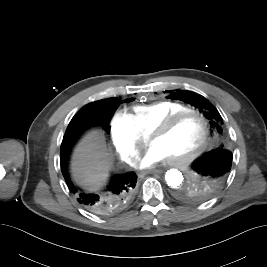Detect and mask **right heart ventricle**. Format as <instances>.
I'll return each instance as SVG.
<instances>
[{
  "label": "right heart ventricle",
  "instance_id": "e07e8e85",
  "mask_svg": "<svg viewBox=\"0 0 267 267\" xmlns=\"http://www.w3.org/2000/svg\"><path fill=\"white\" fill-rule=\"evenodd\" d=\"M189 109L188 106L172 101H159L151 104L134 106L128 117L143 135H149L166 118L177 112Z\"/></svg>",
  "mask_w": 267,
  "mask_h": 267
}]
</instances>
